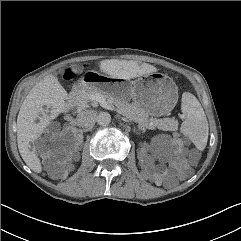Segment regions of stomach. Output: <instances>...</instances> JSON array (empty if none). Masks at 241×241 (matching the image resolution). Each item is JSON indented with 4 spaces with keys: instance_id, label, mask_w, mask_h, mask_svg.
I'll use <instances>...</instances> for the list:
<instances>
[{
    "instance_id": "stomach-1",
    "label": "stomach",
    "mask_w": 241,
    "mask_h": 241,
    "mask_svg": "<svg viewBox=\"0 0 241 241\" xmlns=\"http://www.w3.org/2000/svg\"><path fill=\"white\" fill-rule=\"evenodd\" d=\"M84 90H96L117 100H132L138 108L153 116L168 114L178 101V88L168 75L153 72L130 81L105 75L83 77Z\"/></svg>"
}]
</instances>
